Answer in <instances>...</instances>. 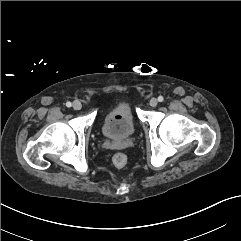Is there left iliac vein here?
<instances>
[{
    "label": "left iliac vein",
    "mask_w": 241,
    "mask_h": 241,
    "mask_svg": "<svg viewBox=\"0 0 241 241\" xmlns=\"http://www.w3.org/2000/svg\"><path fill=\"white\" fill-rule=\"evenodd\" d=\"M149 103H150V106L156 107L158 104V101L156 98H152Z\"/></svg>",
    "instance_id": "left-iliac-vein-1"
}]
</instances>
